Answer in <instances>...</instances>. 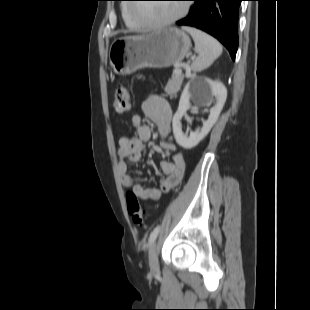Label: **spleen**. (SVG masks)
<instances>
[{
	"mask_svg": "<svg viewBox=\"0 0 310 310\" xmlns=\"http://www.w3.org/2000/svg\"><path fill=\"white\" fill-rule=\"evenodd\" d=\"M183 29L192 36L195 42V51L198 53L191 68L195 72L203 71L222 54V46L215 38L199 29L193 27H183Z\"/></svg>",
	"mask_w": 310,
	"mask_h": 310,
	"instance_id": "obj_1",
	"label": "spleen"
}]
</instances>
